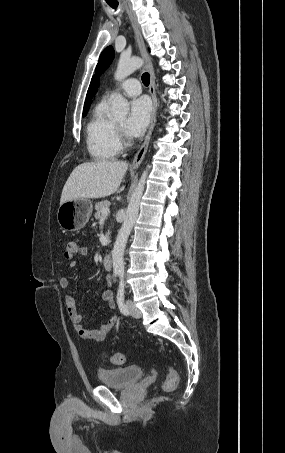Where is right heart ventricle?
<instances>
[{
	"instance_id": "obj_1",
	"label": "right heart ventricle",
	"mask_w": 285,
	"mask_h": 453,
	"mask_svg": "<svg viewBox=\"0 0 285 453\" xmlns=\"http://www.w3.org/2000/svg\"><path fill=\"white\" fill-rule=\"evenodd\" d=\"M107 108V100L99 102L86 128L87 149L96 160L115 158L122 149L116 123L107 116Z\"/></svg>"
}]
</instances>
